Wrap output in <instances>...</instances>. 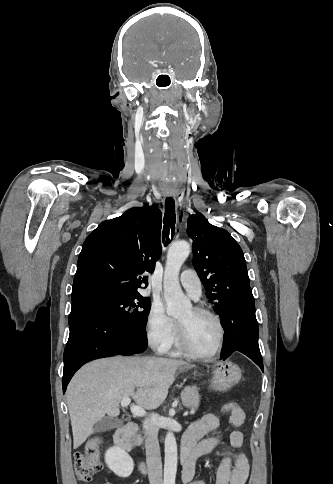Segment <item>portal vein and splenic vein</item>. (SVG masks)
Returning a JSON list of instances; mask_svg holds the SVG:
<instances>
[{
    "label": "portal vein and splenic vein",
    "mask_w": 333,
    "mask_h": 484,
    "mask_svg": "<svg viewBox=\"0 0 333 484\" xmlns=\"http://www.w3.org/2000/svg\"><path fill=\"white\" fill-rule=\"evenodd\" d=\"M130 403H131L130 397H125L121 400L122 407H127L128 405H130ZM130 410H131V413L137 417H143L146 414V411L137 405H131ZM194 412L195 411L192 410L190 413L194 414ZM184 415H187V414H184Z\"/></svg>",
    "instance_id": "1"
}]
</instances>
